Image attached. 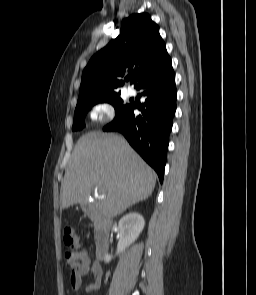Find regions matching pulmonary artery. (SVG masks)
I'll list each match as a JSON object with an SVG mask.
<instances>
[{
	"instance_id": "e3ab8cb5",
	"label": "pulmonary artery",
	"mask_w": 256,
	"mask_h": 295,
	"mask_svg": "<svg viewBox=\"0 0 256 295\" xmlns=\"http://www.w3.org/2000/svg\"><path fill=\"white\" fill-rule=\"evenodd\" d=\"M126 92L129 96H133L135 94L134 89L131 87L127 88Z\"/></svg>"
}]
</instances>
